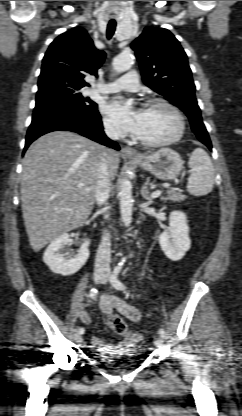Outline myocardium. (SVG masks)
<instances>
[{"label":"myocardium","instance_id":"1","mask_svg":"<svg viewBox=\"0 0 242 416\" xmlns=\"http://www.w3.org/2000/svg\"><path fill=\"white\" fill-rule=\"evenodd\" d=\"M145 107L146 108L164 107V108L169 109L177 119V124H178L177 130L173 136L165 140H161V141H147L134 134L133 139L136 142L146 147L158 148V147H163V146L173 144L177 142L183 136L184 131H185V119H184L182 112L179 110L177 106L163 99H153L147 102Z\"/></svg>","mask_w":242,"mask_h":416}]
</instances>
